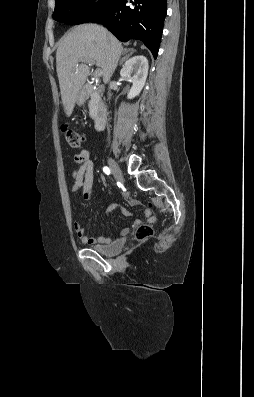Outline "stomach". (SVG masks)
<instances>
[{
  "instance_id": "1",
  "label": "stomach",
  "mask_w": 254,
  "mask_h": 397,
  "mask_svg": "<svg viewBox=\"0 0 254 397\" xmlns=\"http://www.w3.org/2000/svg\"><path fill=\"white\" fill-rule=\"evenodd\" d=\"M86 95L83 91H80L77 96V104L82 105L85 102Z\"/></svg>"
}]
</instances>
